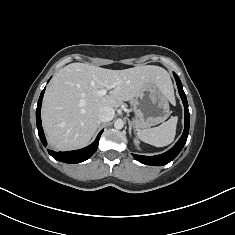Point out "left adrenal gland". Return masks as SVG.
Returning a JSON list of instances; mask_svg holds the SVG:
<instances>
[{
	"label": "left adrenal gland",
	"instance_id": "a2214340",
	"mask_svg": "<svg viewBox=\"0 0 235 235\" xmlns=\"http://www.w3.org/2000/svg\"><path fill=\"white\" fill-rule=\"evenodd\" d=\"M128 124H129V134L131 136V132H132V122L128 119Z\"/></svg>",
	"mask_w": 235,
	"mask_h": 235
}]
</instances>
